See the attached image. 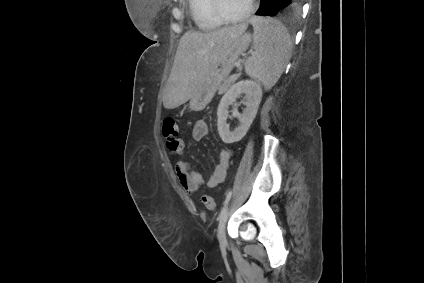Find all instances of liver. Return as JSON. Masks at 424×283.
Listing matches in <instances>:
<instances>
[{"label": "liver", "instance_id": "liver-1", "mask_svg": "<svg viewBox=\"0 0 424 283\" xmlns=\"http://www.w3.org/2000/svg\"><path fill=\"white\" fill-rule=\"evenodd\" d=\"M247 27L248 23H240L205 32H186L180 39L164 90V107L174 109L191 99L228 46Z\"/></svg>", "mask_w": 424, "mask_h": 283}]
</instances>
